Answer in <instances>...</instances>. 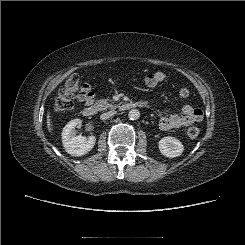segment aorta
<instances>
[{
	"instance_id": "762f6f07",
	"label": "aorta",
	"mask_w": 245,
	"mask_h": 245,
	"mask_svg": "<svg viewBox=\"0 0 245 245\" xmlns=\"http://www.w3.org/2000/svg\"><path fill=\"white\" fill-rule=\"evenodd\" d=\"M128 117L130 120H137L140 117V112L137 109H132L129 111Z\"/></svg>"
}]
</instances>
